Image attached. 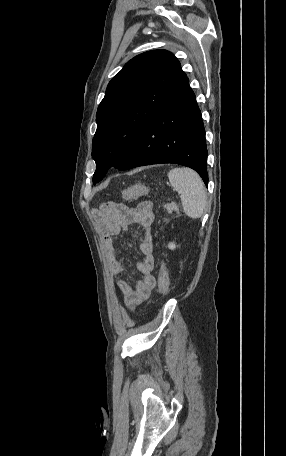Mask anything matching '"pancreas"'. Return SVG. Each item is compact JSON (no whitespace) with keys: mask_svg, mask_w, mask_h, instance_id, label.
Wrapping results in <instances>:
<instances>
[{"mask_svg":"<svg viewBox=\"0 0 286 456\" xmlns=\"http://www.w3.org/2000/svg\"><path fill=\"white\" fill-rule=\"evenodd\" d=\"M168 213H172V211H176L179 214V208L175 203H169L165 206Z\"/></svg>","mask_w":286,"mask_h":456,"instance_id":"cf45deb5","label":"pancreas"}]
</instances>
